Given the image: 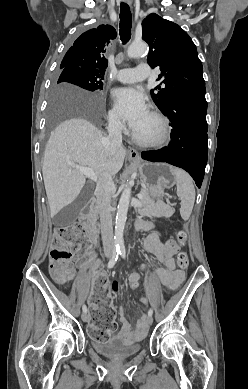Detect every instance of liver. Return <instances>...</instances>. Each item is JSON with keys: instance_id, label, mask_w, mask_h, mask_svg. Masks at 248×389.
<instances>
[{"instance_id": "liver-1", "label": "liver", "mask_w": 248, "mask_h": 389, "mask_svg": "<svg viewBox=\"0 0 248 389\" xmlns=\"http://www.w3.org/2000/svg\"><path fill=\"white\" fill-rule=\"evenodd\" d=\"M55 96L60 106L94 102L93 95L70 86L58 88ZM104 139L95 125L84 118L66 120L51 133L42 165L51 217L71 204L85 185V175L70 164L89 167L98 177L105 170L112 176L120 171L126 150L120 147L113 155H109Z\"/></svg>"}]
</instances>
